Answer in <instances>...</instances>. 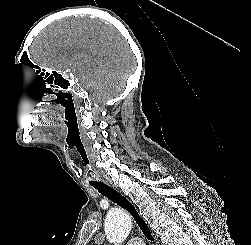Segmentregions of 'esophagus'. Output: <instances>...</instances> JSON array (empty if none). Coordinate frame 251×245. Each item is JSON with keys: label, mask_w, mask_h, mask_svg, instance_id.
<instances>
[{"label": "esophagus", "mask_w": 251, "mask_h": 245, "mask_svg": "<svg viewBox=\"0 0 251 245\" xmlns=\"http://www.w3.org/2000/svg\"><path fill=\"white\" fill-rule=\"evenodd\" d=\"M152 235L154 236V239H155V242H156V245H158V237L156 236V234L153 232Z\"/></svg>", "instance_id": "1"}]
</instances>
